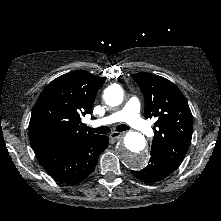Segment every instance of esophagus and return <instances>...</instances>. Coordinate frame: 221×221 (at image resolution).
<instances>
[{
  "label": "esophagus",
  "mask_w": 221,
  "mask_h": 221,
  "mask_svg": "<svg viewBox=\"0 0 221 221\" xmlns=\"http://www.w3.org/2000/svg\"><path fill=\"white\" fill-rule=\"evenodd\" d=\"M123 135H124L123 132H112L110 134V138L114 139V140H117V139L121 138Z\"/></svg>",
  "instance_id": "esophagus-1"
}]
</instances>
